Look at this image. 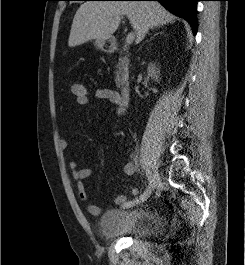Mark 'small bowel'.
<instances>
[{
	"label": "small bowel",
	"instance_id": "obj_1",
	"mask_svg": "<svg viewBox=\"0 0 245 265\" xmlns=\"http://www.w3.org/2000/svg\"><path fill=\"white\" fill-rule=\"evenodd\" d=\"M95 96L98 99L108 100L112 104H115L117 106L116 113L118 116L124 112V104L122 102L121 95L116 90L110 88H99L95 91ZM60 146L63 149H67L69 146L68 140L66 138H62L60 140ZM68 169L72 180L76 184L79 199L86 203V209L89 214L98 216L101 213V208L100 206L89 202V196L83 182L92 175V169L90 167L79 168L74 160L69 161ZM123 170L126 175L131 176L135 174L136 167L133 163H127L125 164ZM137 193L138 191L136 188H132L130 190V194L132 196H136ZM126 199L125 195L120 194L115 197L114 202L117 205H123L126 202Z\"/></svg>",
	"mask_w": 245,
	"mask_h": 265
}]
</instances>
